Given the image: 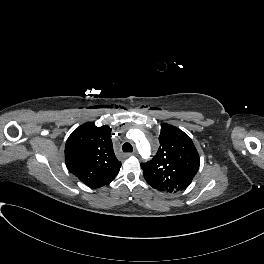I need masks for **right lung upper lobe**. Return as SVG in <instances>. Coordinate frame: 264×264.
Segmentation results:
<instances>
[{"label":"right lung upper lobe","mask_w":264,"mask_h":264,"mask_svg":"<svg viewBox=\"0 0 264 264\" xmlns=\"http://www.w3.org/2000/svg\"><path fill=\"white\" fill-rule=\"evenodd\" d=\"M111 129L89 122L79 126L65 145L68 170L91 188L108 185L118 174L121 162L114 154Z\"/></svg>","instance_id":"right-lung-upper-lobe-1"}]
</instances>
